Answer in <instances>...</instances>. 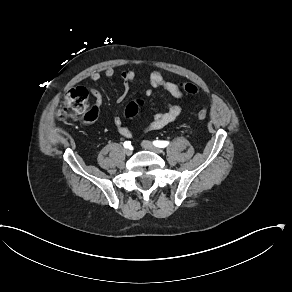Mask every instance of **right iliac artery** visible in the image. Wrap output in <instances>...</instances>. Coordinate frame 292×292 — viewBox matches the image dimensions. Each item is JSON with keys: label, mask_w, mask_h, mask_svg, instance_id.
<instances>
[{"label": "right iliac artery", "mask_w": 292, "mask_h": 292, "mask_svg": "<svg viewBox=\"0 0 292 292\" xmlns=\"http://www.w3.org/2000/svg\"><path fill=\"white\" fill-rule=\"evenodd\" d=\"M123 145H124L125 148H130L131 147V142L130 141H125Z\"/></svg>", "instance_id": "1"}]
</instances>
